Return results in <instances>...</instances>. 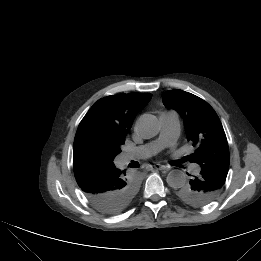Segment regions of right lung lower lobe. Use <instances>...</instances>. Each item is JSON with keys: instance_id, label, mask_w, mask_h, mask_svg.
Wrapping results in <instances>:
<instances>
[{"instance_id": "1", "label": "right lung lower lobe", "mask_w": 261, "mask_h": 261, "mask_svg": "<svg viewBox=\"0 0 261 261\" xmlns=\"http://www.w3.org/2000/svg\"><path fill=\"white\" fill-rule=\"evenodd\" d=\"M74 174L90 204L103 214H119L132 202L127 204L125 196L133 180L125 177L113 161L77 160L74 161Z\"/></svg>"}]
</instances>
